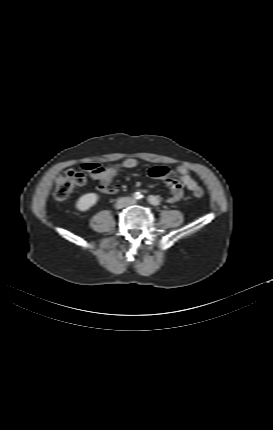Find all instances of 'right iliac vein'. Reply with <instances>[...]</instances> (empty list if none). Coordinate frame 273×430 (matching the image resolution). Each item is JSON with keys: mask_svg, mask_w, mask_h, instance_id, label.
I'll use <instances>...</instances> for the list:
<instances>
[{"mask_svg": "<svg viewBox=\"0 0 273 430\" xmlns=\"http://www.w3.org/2000/svg\"><path fill=\"white\" fill-rule=\"evenodd\" d=\"M127 199H124V198H121V199H119L117 202H116V204H115V208L116 209H121V208H123L124 206H126V204H127Z\"/></svg>", "mask_w": 273, "mask_h": 430, "instance_id": "right-iliac-vein-1", "label": "right iliac vein"}]
</instances>
